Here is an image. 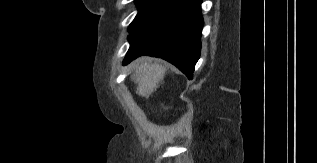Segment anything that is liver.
<instances>
[{"label":"liver","instance_id":"liver-1","mask_svg":"<svg viewBox=\"0 0 317 163\" xmlns=\"http://www.w3.org/2000/svg\"><path fill=\"white\" fill-rule=\"evenodd\" d=\"M132 80L138 85L137 93L149 97L164 79L166 69L157 63L140 60L132 64Z\"/></svg>","mask_w":317,"mask_h":163}]
</instances>
